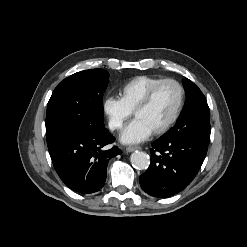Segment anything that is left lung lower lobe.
<instances>
[{
  "instance_id": "1",
  "label": "left lung lower lobe",
  "mask_w": 247,
  "mask_h": 247,
  "mask_svg": "<svg viewBox=\"0 0 247 247\" xmlns=\"http://www.w3.org/2000/svg\"><path fill=\"white\" fill-rule=\"evenodd\" d=\"M208 144L196 138L161 136L150 149L151 163L140 176L141 188L156 197L182 191L200 170Z\"/></svg>"
}]
</instances>
